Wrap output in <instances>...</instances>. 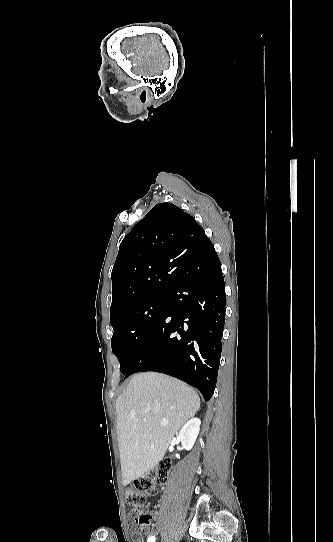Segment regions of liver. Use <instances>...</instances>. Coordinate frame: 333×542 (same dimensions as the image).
Instances as JSON below:
<instances>
[{
	"mask_svg": "<svg viewBox=\"0 0 333 542\" xmlns=\"http://www.w3.org/2000/svg\"><path fill=\"white\" fill-rule=\"evenodd\" d=\"M199 408L197 392L180 380L155 372L131 378L116 400L123 486L163 460L173 436ZM160 422H168V426Z\"/></svg>",
	"mask_w": 333,
	"mask_h": 542,
	"instance_id": "1",
	"label": "liver"
}]
</instances>
